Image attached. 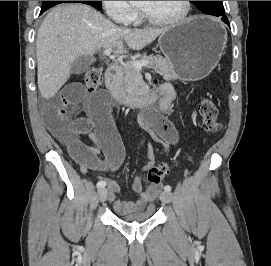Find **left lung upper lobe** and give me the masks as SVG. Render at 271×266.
<instances>
[{
  "label": "left lung upper lobe",
  "instance_id": "obj_1",
  "mask_svg": "<svg viewBox=\"0 0 271 266\" xmlns=\"http://www.w3.org/2000/svg\"><path fill=\"white\" fill-rule=\"evenodd\" d=\"M203 13L221 17L225 15L222 1H191Z\"/></svg>",
  "mask_w": 271,
  "mask_h": 266
}]
</instances>
